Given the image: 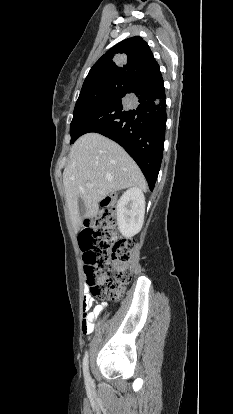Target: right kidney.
<instances>
[{
  "mask_svg": "<svg viewBox=\"0 0 233 414\" xmlns=\"http://www.w3.org/2000/svg\"><path fill=\"white\" fill-rule=\"evenodd\" d=\"M145 197L141 189L132 187L120 197L117 203V224L124 237L137 234L143 225Z\"/></svg>",
  "mask_w": 233,
  "mask_h": 414,
  "instance_id": "ca27d5eb",
  "label": "right kidney"
}]
</instances>
